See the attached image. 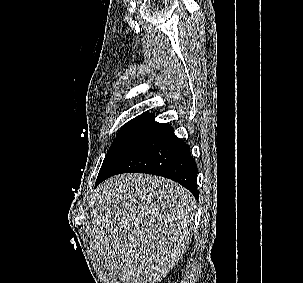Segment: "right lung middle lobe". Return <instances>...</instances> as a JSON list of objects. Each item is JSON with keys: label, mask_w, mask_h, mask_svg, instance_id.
Listing matches in <instances>:
<instances>
[{"label": "right lung middle lobe", "mask_w": 303, "mask_h": 283, "mask_svg": "<svg viewBox=\"0 0 303 283\" xmlns=\"http://www.w3.org/2000/svg\"><path fill=\"white\" fill-rule=\"evenodd\" d=\"M154 121V117L138 116L126 123L111 144L97 178L106 174Z\"/></svg>", "instance_id": "dd1d6c3e"}]
</instances>
